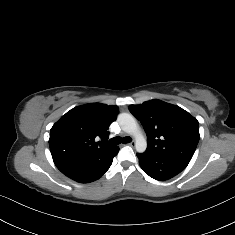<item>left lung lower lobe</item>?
<instances>
[{
	"label": "left lung lower lobe",
	"instance_id": "0a47b994",
	"mask_svg": "<svg viewBox=\"0 0 235 235\" xmlns=\"http://www.w3.org/2000/svg\"><path fill=\"white\" fill-rule=\"evenodd\" d=\"M141 168L153 179L165 181L182 172L188 162L145 151L137 154Z\"/></svg>",
	"mask_w": 235,
	"mask_h": 235
}]
</instances>
